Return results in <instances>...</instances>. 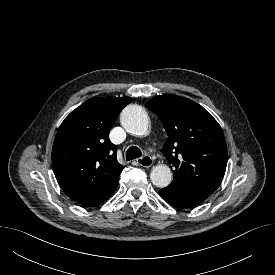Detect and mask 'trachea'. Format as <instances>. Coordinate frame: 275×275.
<instances>
[{"mask_svg":"<svg viewBox=\"0 0 275 275\" xmlns=\"http://www.w3.org/2000/svg\"><path fill=\"white\" fill-rule=\"evenodd\" d=\"M141 150L136 146H131L128 148L126 152V161H130L136 158L141 157Z\"/></svg>","mask_w":275,"mask_h":275,"instance_id":"obj_1","label":"trachea"}]
</instances>
